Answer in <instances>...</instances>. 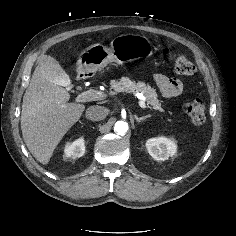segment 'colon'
I'll use <instances>...</instances> for the list:
<instances>
[{
  "instance_id": "1",
  "label": "colon",
  "mask_w": 236,
  "mask_h": 236,
  "mask_svg": "<svg viewBox=\"0 0 236 236\" xmlns=\"http://www.w3.org/2000/svg\"><path fill=\"white\" fill-rule=\"evenodd\" d=\"M174 70L176 74L188 77L195 73V65L185 56L175 57ZM185 111L195 124H202L206 120L205 106L200 98H193L185 103Z\"/></svg>"
}]
</instances>
